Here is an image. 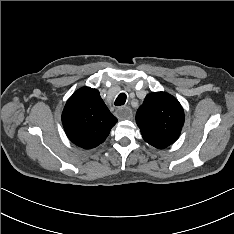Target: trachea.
I'll use <instances>...</instances> for the list:
<instances>
[{
  "instance_id": "trachea-1",
  "label": "trachea",
  "mask_w": 234,
  "mask_h": 234,
  "mask_svg": "<svg viewBox=\"0 0 234 234\" xmlns=\"http://www.w3.org/2000/svg\"><path fill=\"white\" fill-rule=\"evenodd\" d=\"M126 98H127L126 94H125V93H121V94H119V96L116 98L114 104H115L116 106L124 105L125 102H126Z\"/></svg>"
}]
</instances>
